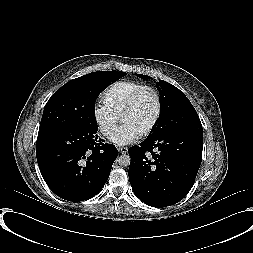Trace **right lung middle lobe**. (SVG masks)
<instances>
[{
	"instance_id": "1",
	"label": "right lung middle lobe",
	"mask_w": 253,
	"mask_h": 253,
	"mask_svg": "<svg viewBox=\"0 0 253 253\" xmlns=\"http://www.w3.org/2000/svg\"><path fill=\"white\" fill-rule=\"evenodd\" d=\"M125 74L92 72L63 85L45 105L38 136L66 128L98 130L94 112L96 98L110 83Z\"/></svg>"
}]
</instances>
